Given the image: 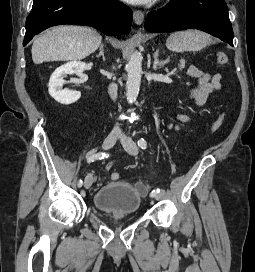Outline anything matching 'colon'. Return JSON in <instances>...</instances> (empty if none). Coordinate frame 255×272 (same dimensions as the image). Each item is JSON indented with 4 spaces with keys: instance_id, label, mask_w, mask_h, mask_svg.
<instances>
[{
    "instance_id": "colon-1",
    "label": "colon",
    "mask_w": 255,
    "mask_h": 272,
    "mask_svg": "<svg viewBox=\"0 0 255 272\" xmlns=\"http://www.w3.org/2000/svg\"><path fill=\"white\" fill-rule=\"evenodd\" d=\"M216 61L222 67L227 66L229 63L228 56L223 51H219L216 53ZM222 123H223V115L220 114V115H218V117L216 118V120L212 124V127H211L212 133L218 132L222 126ZM110 177L113 181H116L120 178V174L117 172H113ZM140 191L141 192L145 191V187L143 185L140 186Z\"/></svg>"
}]
</instances>
